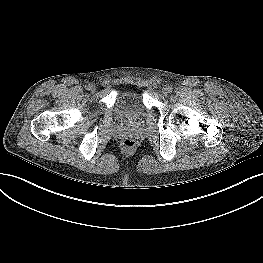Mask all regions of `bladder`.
Segmentation results:
<instances>
[{"mask_svg":"<svg viewBox=\"0 0 263 263\" xmlns=\"http://www.w3.org/2000/svg\"><path fill=\"white\" fill-rule=\"evenodd\" d=\"M114 112L121 119L138 121L143 118L145 110L138 93L122 91L117 96Z\"/></svg>","mask_w":263,"mask_h":263,"instance_id":"bladder-1","label":"bladder"}]
</instances>
